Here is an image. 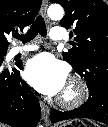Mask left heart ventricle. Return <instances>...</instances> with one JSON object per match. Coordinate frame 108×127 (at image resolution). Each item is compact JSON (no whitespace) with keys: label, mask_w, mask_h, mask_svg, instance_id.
I'll return each instance as SVG.
<instances>
[{"label":"left heart ventricle","mask_w":108,"mask_h":127,"mask_svg":"<svg viewBox=\"0 0 108 127\" xmlns=\"http://www.w3.org/2000/svg\"><path fill=\"white\" fill-rule=\"evenodd\" d=\"M68 91V86L66 85L65 89L63 90V93H66Z\"/></svg>","instance_id":"left-heart-ventricle-1"}]
</instances>
